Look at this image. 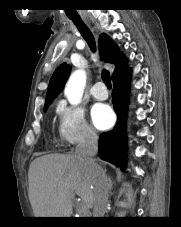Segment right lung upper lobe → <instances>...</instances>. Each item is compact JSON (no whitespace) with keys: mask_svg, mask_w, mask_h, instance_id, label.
<instances>
[{"mask_svg":"<svg viewBox=\"0 0 181 227\" xmlns=\"http://www.w3.org/2000/svg\"><path fill=\"white\" fill-rule=\"evenodd\" d=\"M99 49L101 58L105 62L114 64V73L117 72V70L121 67L125 57L121 52H119L118 47L106 34L100 35ZM70 71L71 67L66 63L61 64L55 70L49 82L45 104H51L53 99L62 91L64 84L69 77Z\"/></svg>","mask_w":181,"mask_h":227,"instance_id":"1","label":"right lung upper lobe"}]
</instances>
